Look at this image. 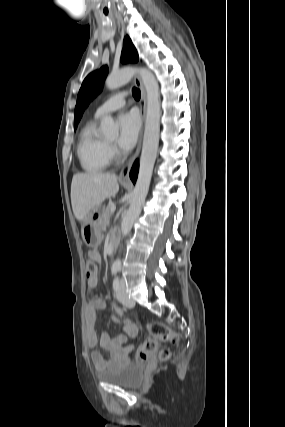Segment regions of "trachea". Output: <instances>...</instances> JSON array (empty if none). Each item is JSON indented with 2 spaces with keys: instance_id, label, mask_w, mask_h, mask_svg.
Instances as JSON below:
<instances>
[{
  "instance_id": "obj_1",
  "label": "trachea",
  "mask_w": 285,
  "mask_h": 427,
  "mask_svg": "<svg viewBox=\"0 0 285 427\" xmlns=\"http://www.w3.org/2000/svg\"><path fill=\"white\" fill-rule=\"evenodd\" d=\"M132 94H133V97H134L135 99H137V100H139V99H140L141 92H140V90H139V89H137V88H133V89H132Z\"/></svg>"
}]
</instances>
